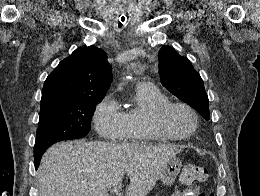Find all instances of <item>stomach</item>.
I'll return each instance as SVG.
<instances>
[{
    "instance_id": "stomach-1",
    "label": "stomach",
    "mask_w": 260,
    "mask_h": 196,
    "mask_svg": "<svg viewBox=\"0 0 260 196\" xmlns=\"http://www.w3.org/2000/svg\"><path fill=\"white\" fill-rule=\"evenodd\" d=\"M182 162L180 158H171L169 160L166 168H163L162 174L160 176L162 184L164 186H173L178 174H180Z\"/></svg>"
}]
</instances>
